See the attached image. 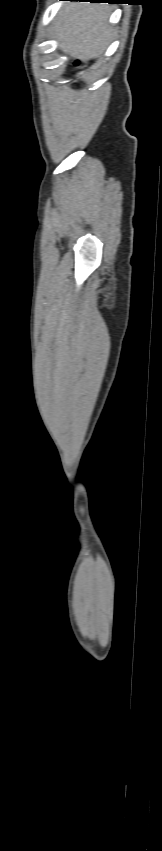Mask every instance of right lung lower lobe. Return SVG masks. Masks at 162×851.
Returning a JSON list of instances; mask_svg holds the SVG:
<instances>
[{
    "mask_svg": "<svg viewBox=\"0 0 162 851\" xmlns=\"http://www.w3.org/2000/svg\"><path fill=\"white\" fill-rule=\"evenodd\" d=\"M70 1H90V2H100V3H101V2H104V1H107L109 4H112V3H113V4L120 3V2H119V0H70Z\"/></svg>",
    "mask_w": 162,
    "mask_h": 851,
    "instance_id": "1",
    "label": "right lung lower lobe"
}]
</instances>
